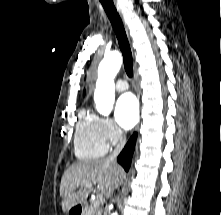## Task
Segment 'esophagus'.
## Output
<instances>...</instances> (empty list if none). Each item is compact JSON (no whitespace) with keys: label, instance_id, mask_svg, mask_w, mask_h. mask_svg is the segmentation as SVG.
<instances>
[{"label":"esophagus","instance_id":"1","mask_svg":"<svg viewBox=\"0 0 221 215\" xmlns=\"http://www.w3.org/2000/svg\"><path fill=\"white\" fill-rule=\"evenodd\" d=\"M113 1H114L115 7H116V9H117V11H118L120 17L122 18V20H123V22H124V26H125V29H126V31H127V25H126V23H125V21H124V19H123L121 8H120V6H119V4H118V2H117L116 0H113Z\"/></svg>","mask_w":221,"mask_h":215}]
</instances>
